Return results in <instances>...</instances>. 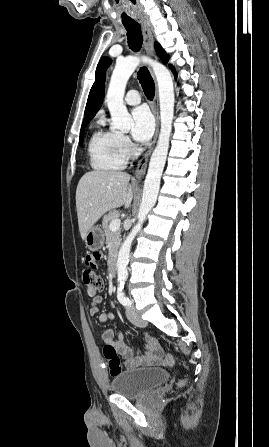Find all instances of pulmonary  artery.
<instances>
[{
	"instance_id": "obj_1",
	"label": "pulmonary artery",
	"mask_w": 269,
	"mask_h": 447,
	"mask_svg": "<svg viewBox=\"0 0 269 447\" xmlns=\"http://www.w3.org/2000/svg\"><path fill=\"white\" fill-rule=\"evenodd\" d=\"M125 102L129 105H137L141 102V95L138 90L131 89L125 96Z\"/></svg>"
}]
</instances>
